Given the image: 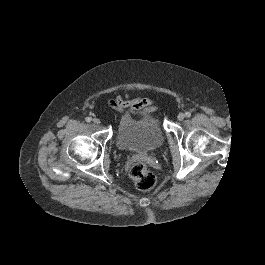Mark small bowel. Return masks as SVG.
<instances>
[{
	"mask_svg": "<svg viewBox=\"0 0 265 265\" xmlns=\"http://www.w3.org/2000/svg\"><path fill=\"white\" fill-rule=\"evenodd\" d=\"M109 105L117 111H130L134 114H152L157 107L152 100L138 96L129 100H124L120 96L109 100Z\"/></svg>",
	"mask_w": 265,
	"mask_h": 265,
	"instance_id": "1",
	"label": "small bowel"
}]
</instances>
